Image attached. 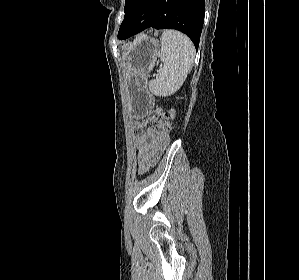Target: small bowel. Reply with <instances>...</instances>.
Instances as JSON below:
<instances>
[{"instance_id":"c3829d8e","label":"small bowel","mask_w":299,"mask_h":280,"mask_svg":"<svg viewBox=\"0 0 299 280\" xmlns=\"http://www.w3.org/2000/svg\"><path fill=\"white\" fill-rule=\"evenodd\" d=\"M138 163L141 172H145L159 157L169 141L168 133L156 129L147 123L135 126Z\"/></svg>"}]
</instances>
